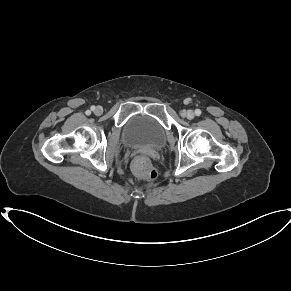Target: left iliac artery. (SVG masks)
<instances>
[{"label":"left iliac artery","instance_id":"left-iliac-artery-1","mask_svg":"<svg viewBox=\"0 0 291 291\" xmlns=\"http://www.w3.org/2000/svg\"><path fill=\"white\" fill-rule=\"evenodd\" d=\"M195 114H196V116H200L201 115V110L200 109H196L195 110Z\"/></svg>","mask_w":291,"mask_h":291}]
</instances>
